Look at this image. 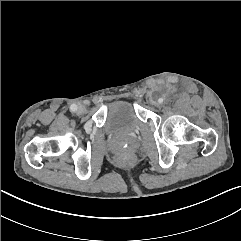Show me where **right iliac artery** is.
I'll return each instance as SVG.
<instances>
[{"mask_svg": "<svg viewBox=\"0 0 241 241\" xmlns=\"http://www.w3.org/2000/svg\"><path fill=\"white\" fill-rule=\"evenodd\" d=\"M70 110H71L72 112H75V111L77 110V105H76V104H72V105L70 106Z\"/></svg>", "mask_w": 241, "mask_h": 241, "instance_id": "82829eb1", "label": "right iliac artery"}]
</instances>
